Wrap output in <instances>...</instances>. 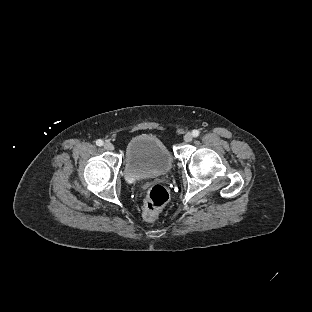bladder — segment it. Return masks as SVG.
Wrapping results in <instances>:
<instances>
[{
    "label": "bladder",
    "instance_id": "31cf9c89",
    "mask_svg": "<svg viewBox=\"0 0 312 312\" xmlns=\"http://www.w3.org/2000/svg\"><path fill=\"white\" fill-rule=\"evenodd\" d=\"M173 158L158 138L143 135L127 143L124 175L126 178L160 176L172 168Z\"/></svg>",
    "mask_w": 312,
    "mask_h": 312
}]
</instances>
